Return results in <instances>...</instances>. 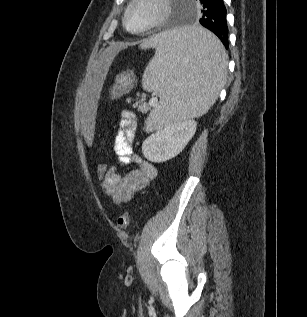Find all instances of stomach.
<instances>
[{
	"label": "stomach",
	"instance_id": "stomach-1",
	"mask_svg": "<svg viewBox=\"0 0 307 317\" xmlns=\"http://www.w3.org/2000/svg\"><path fill=\"white\" fill-rule=\"evenodd\" d=\"M132 76L129 73H122L116 78V82L111 91L113 98L121 96L131 88Z\"/></svg>",
	"mask_w": 307,
	"mask_h": 317
}]
</instances>
